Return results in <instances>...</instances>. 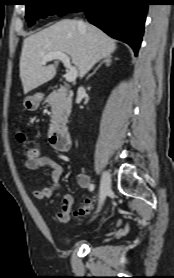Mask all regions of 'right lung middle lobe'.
I'll list each match as a JSON object with an SVG mask.
<instances>
[{
  "mask_svg": "<svg viewBox=\"0 0 174 278\" xmlns=\"http://www.w3.org/2000/svg\"><path fill=\"white\" fill-rule=\"evenodd\" d=\"M26 20L32 25L37 18L48 15L63 16L67 14L79 0H25Z\"/></svg>",
  "mask_w": 174,
  "mask_h": 278,
  "instance_id": "right-lung-middle-lobe-1",
  "label": "right lung middle lobe"
}]
</instances>
